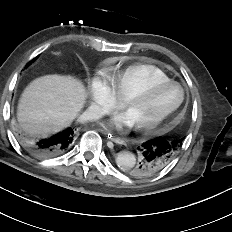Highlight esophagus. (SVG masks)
<instances>
[{
	"label": "esophagus",
	"mask_w": 232,
	"mask_h": 232,
	"mask_svg": "<svg viewBox=\"0 0 232 232\" xmlns=\"http://www.w3.org/2000/svg\"><path fill=\"white\" fill-rule=\"evenodd\" d=\"M99 131L102 132L104 135H106L108 137V139H110L111 141L118 143V144H122L123 140L119 137L113 136L109 130H107L106 128H99Z\"/></svg>",
	"instance_id": "1"
}]
</instances>
